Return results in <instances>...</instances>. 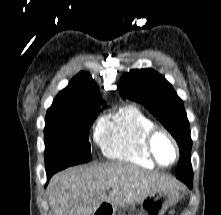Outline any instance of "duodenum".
I'll return each instance as SVG.
<instances>
[{
  "label": "duodenum",
  "instance_id": "obj_1",
  "mask_svg": "<svg viewBox=\"0 0 221 215\" xmlns=\"http://www.w3.org/2000/svg\"><path fill=\"white\" fill-rule=\"evenodd\" d=\"M111 213L112 207L108 204H103L96 210L94 215H111Z\"/></svg>",
  "mask_w": 221,
  "mask_h": 215
}]
</instances>
